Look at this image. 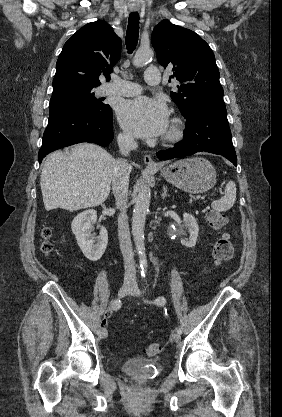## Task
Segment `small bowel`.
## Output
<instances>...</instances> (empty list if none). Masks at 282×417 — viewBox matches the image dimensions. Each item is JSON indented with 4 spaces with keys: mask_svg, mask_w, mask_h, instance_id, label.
Segmentation results:
<instances>
[{
    "mask_svg": "<svg viewBox=\"0 0 282 417\" xmlns=\"http://www.w3.org/2000/svg\"><path fill=\"white\" fill-rule=\"evenodd\" d=\"M206 272H207V267L204 266L203 269H202V276H204L206 274ZM105 325H106V323L104 322L103 326H105Z\"/></svg>",
    "mask_w": 282,
    "mask_h": 417,
    "instance_id": "c3829d8e",
    "label": "small bowel"
}]
</instances>
